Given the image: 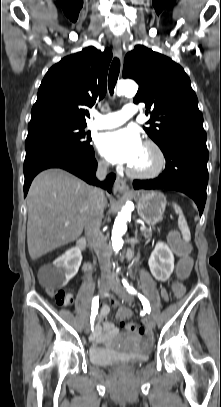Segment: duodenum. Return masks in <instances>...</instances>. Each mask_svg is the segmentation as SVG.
Masks as SVG:
<instances>
[{
    "label": "duodenum",
    "mask_w": 221,
    "mask_h": 407,
    "mask_svg": "<svg viewBox=\"0 0 221 407\" xmlns=\"http://www.w3.org/2000/svg\"><path fill=\"white\" fill-rule=\"evenodd\" d=\"M78 245L81 249H84L86 246L85 240L82 238L78 241ZM84 270H89L91 268V265L89 263H85L83 266Z\"/></svg>",
    "instance_id": "410a0bca"
}]
</instances>
